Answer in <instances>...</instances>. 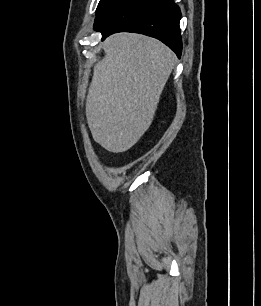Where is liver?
Segmentation results:
<instances>
[{"instance_id":"1","label":"liver","mask_w":261,"mask_h":306,"mask_svg":"<svg viewBox=\"0 0 261 306\" xmlns=\"http://www.w3.org/2000/svg\"><path fill=\"white\" fill-rule=\"evenodd\" d=\"M86 100L93 139L106 150H129L150 127L175 55L160 41L117 33L103 43Z\"/></svg>"}]
</instances>
